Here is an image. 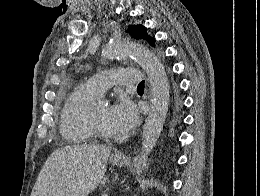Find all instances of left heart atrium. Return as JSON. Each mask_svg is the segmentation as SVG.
<instances>
[{"instance_id": "left-heart-atrium-1", "label": "left heart atrium", "mask_w": 260, "mask_h": 196, "mask_svg": "<svg viewBox=\"0 0 260 196\" xmlns=\"http://www.w3.org/2000/svg\"><path fill=\"white\" fill-rule=\"evenodd\" d=\"M109 119L114 131L125 135L137 125L139 113L130 99L121 97L110 106Z\"/></svg>"}]
</instances>
